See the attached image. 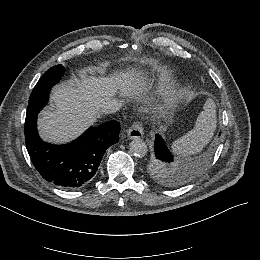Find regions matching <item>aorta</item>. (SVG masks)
<instances>
[{"mask_svg": "<svg viewBox=\"0 0 260 260\" xmlns=\"http://www.w3.org/2000/svg\"><path fill=\"white\" fill-rule=\"evenodd\" d=\"M147 145L142 139H134L129 144V151L136 157H143L147 153Z\"/></svg>", "mask_w": 260, "mask_h": 260, "instance_id": "762f6f07", "label": "aorta"}]
</instances>
